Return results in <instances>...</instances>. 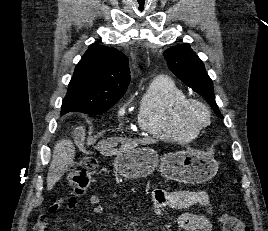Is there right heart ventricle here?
I'll list each match as a JSON object with an SVG mask.
<instances>
[{
    "label": "right heart ventricle",
    "instance_id": "right-heart-ventricle-1",
    "mask_svg": "<svg viewBox=\"0 0 268 231\" xmlns=\"http://www.w3.org/2000/svg\"><path fill=\"white\" fill-rule=\"evenodd\" d=\"M185 92L169 77L155 78L145 90L138 109V124L145 135L157 139L187 142L196 134L187 130L179 120Z\"/></svg>",
    "mask_w": 268,
    "mask_h": 231
}]
</instances>
